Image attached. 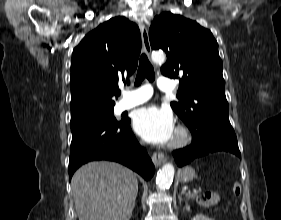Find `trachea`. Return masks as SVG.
I'll return each mask as SVG.
<instances>
[{"label": "trachea", "mask_w": 281, "mask_h": 220, "mask_svg": "<svg viewBox=\"0 0 281 220\" xmlns=\"http://www.w3.org/2000/svg\"><path fill=\"white\" fill-rule=\"evenodd\" d=\"M145 78H147L150 82H153L155 79V73L147 56L142 54L139 61L135 85H140Z\"/></svg>", "instance_id": "obj_1"}]
</instances>
